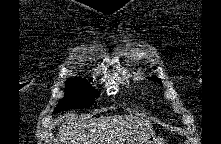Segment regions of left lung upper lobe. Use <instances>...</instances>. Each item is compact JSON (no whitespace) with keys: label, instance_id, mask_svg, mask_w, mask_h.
I'll return each instance as SVG.
<instances>
[{"label":"left lung upper lobe","instance_id":"obj_1","mask_svg":"<svg viewBox=\"0 0 221 144\" xmlns=\"http://www.w3.org/2000/svg\"><path fill=\"white\" fill-rule=\"evenodd\" d=\"M150 79L153 81H157L159 84H161V79H159L157 77H151Z\"/></svg>","mask_w":221,"mask_h":144}]
</instances>
